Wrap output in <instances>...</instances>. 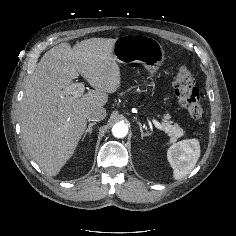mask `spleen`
Returning <instances> with one entry per match:
<instances>
[{"mask_svg": "<svg viewBox=\"0 0 236 236\" xmlns=\"http://www.w3.org/2000/svg\"><path fill=\"white\" fill-rule=\"evenodd\" d=\"M200 157L197 139H186L173 144L168 149V159L173 168V177L178 180L189 174Z\"/></svg>", "mask_w": 236, "mask_h": 236, "instance_id": "spleen-1", "label": "spleen"}]
</instances>
